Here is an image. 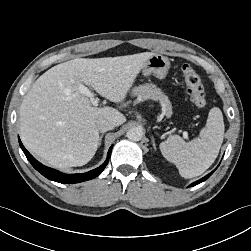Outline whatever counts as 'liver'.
Returning <instances> with one entry per match:
<instances>
[{
  "label": "liver",
  "instance_id": "liver-1",
  "mask_svg": "<svg viewBox=\"0 0 251 251\" xmlns=\"http://www.w3.org/2000/svg\"><path fill=\"white\" fill-rule=\"evenodd\" d=\"M154 54L76 58L47 70L20 106V137L25 147L55 168L87 164L99 145L97 121L104 118L119 126L126 118L112 107H93L78 93L76 82L120 103Z\"/></svg>",
  "mask_w": 251,
  "mask_h": 251
}]
</instances>
